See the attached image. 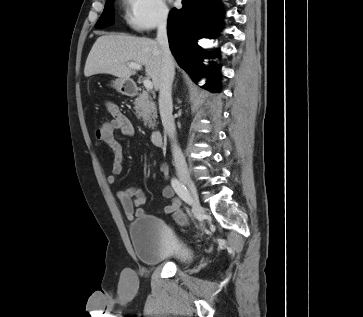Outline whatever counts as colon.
<instances>
[{"mask_svg": "<svg viewBox=\"0 0 363 317\" xmlns=\"http://www.w3.org/2000/svg\"><path fill=\"white\" fill-rule=\"evenodd\" d=\"M100 126H101V125L96 126L95 131L99 130ZM176 220H177V222H178L180 225H185V224H186V222H187V219H186V217H185L183 214H178V215L176 216Z\"/></svg>", "mask_w": 363, "mask_h": 317, "instance_id": "obj_1", "label": "colon"}]
</instances>
